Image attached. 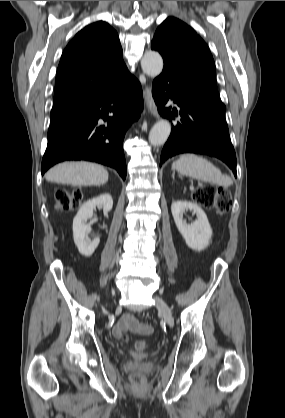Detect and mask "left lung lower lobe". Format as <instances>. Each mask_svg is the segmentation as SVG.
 <instances>
[{
    "label": "left lung lower lobe",
    "instance_id": "1",
    "mask_svg": "<svg viewBox=\"0 0 285 418\" xmlns=\"http://www.w3.org/2000/svg\"><path fill=\"white\" fill-rule=\"evenodd\" d=\"M152 95L162 117L175 119L176 108H165L172 100L180 108L182 119L172 124L164 145L160 165L182 153L207 154L224 161L236 172V155L225 120V105L218 94L209 92L169 65L153 81Z\"/></svg>",
    "mask_w": 285,
    "mask_h": 418
}]
</instances>
